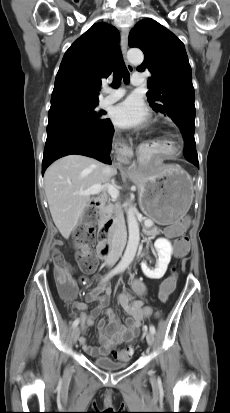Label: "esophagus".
Listing matches in <instances>:
<instances>
[{
	"label": "esophagus",
	"instance_id": "esophagus-1",
	"mask_svg": "<svg viewBox=\"0 0 230 413\" xmlns=\"http://www.w3.org/2000/svg\"><path fill=\"white\" fill-rule=\"evenodd\" d=\"M128 35H129V30L127 28L123 29L121 33V51H122L123 57L125 58L127 69L130 72H133L134 70L133 66L130 63H128L126 60V52L128 48ZM117 149H118V153L120 156H122V154L124 153L129 152V147L126 144H119L117 146Z\"/></svg>",
	"mask_w": 230,
	"mask_h": 413
}]
</instances>
